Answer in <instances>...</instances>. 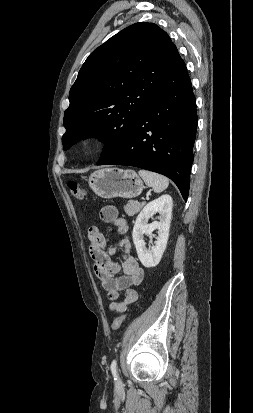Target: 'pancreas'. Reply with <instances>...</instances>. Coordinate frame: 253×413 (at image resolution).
I'll return each instance as SVG.
<instances>
[{"mask_svg": "<svg viewBox=\"0 0 253 413\" xmlns=\"http://www.w3.org/2000/svg\"><path fill=\"white\" fill-rule=\"evenodd\" d=\"M144 204L145 203H139L138 201H128L124 206V210L128 216H134L143 208Z\"/></svg>", "mask_w": 253, "mask_h": 413, "instance_id": "pancreas-1", "label": "pancreas"}]
</instances>
